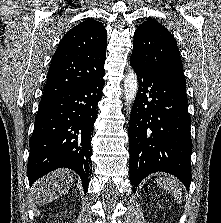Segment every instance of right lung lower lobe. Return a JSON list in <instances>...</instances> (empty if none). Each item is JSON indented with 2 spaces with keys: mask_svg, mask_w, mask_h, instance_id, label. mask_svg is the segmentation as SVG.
I'll return each mask as SVG.
<instances>
[{
  "mask_svg": "<svg viewBox=\"0 0 221 223\" xmlns=\"http://www.w3.org/2000/svg\"><path fill=\"white\" fill-rule=\"evenodd\" d=\"M105 72L74 89L41 99L28 160V179L57 168L76 171L85 193L92 171L91 144L97 104L102 97Z\"/></svg>",
  "mask_w": 221,
  "mask_h": 223,
  "instance_id": "98d812e1",
  "label": "right lung lower lobe"
}]
</instances>
